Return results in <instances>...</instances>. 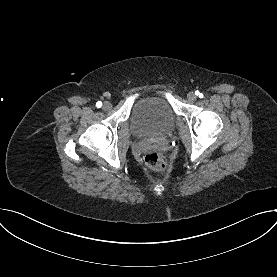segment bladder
<instances>
[{
  "mask_svg": "<svg viewBox=\"0 0 277 277\" xmlns=\"http://www.w3.org/2000/svg\"><path fill=\"white\" fill-rule=\"evenodd\" d=\"M131 124L138 136H165L174 130L176 116L165 98L146 97L138 100L133 106Z\"/></svg>",
  "mask_w": 277,
  "mask_h": 277,
  "instance_id": "31cf9c89",
  "label": "bladder"
}]
</instances>
